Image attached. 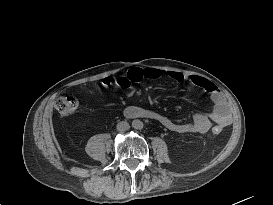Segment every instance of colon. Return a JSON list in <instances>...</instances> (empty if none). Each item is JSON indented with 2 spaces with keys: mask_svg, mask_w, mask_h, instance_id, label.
Masks as SVG:
<instances>
[{
  "mask_svg": "<svg viewBox=\"0 0 273 205\" xmlns=\"http://www.w3.org/2000/svg\"><path fill=\"white\" fill-rule=\"evenodd\" d=\"M128 79L131 84H136L144 79V72L141 69H133L128 73ZM56 110L62 115H70L77 111L78 101L77 99L69 94L63 93L55 101ZM222 129L218 126L213 127V134H220Z\"/></svg>",
  "mask_w": 273,
  "mask_h": 205,
  "instance_id": "1",
  "label": "colon"
}]
</instances>
